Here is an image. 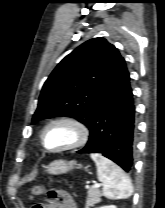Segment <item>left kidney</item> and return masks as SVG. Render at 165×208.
I'll return each mask as SVG.
<instances>
[{
	"label": "left kidney",
	"mask_w": 165,
	"mask_h": 208,
	"mask_svg": "<svg viewBox=\"0 0 165 208\" xmlns=\"http://www.w3.org/2000/svg\"><path fill=\"white\" fill-rule=\"evenodd\" d=\"M98 208H117L115 205L101 206Z\"/></svg>",
	"instance_id": "obj_1"
}]
</instances>
